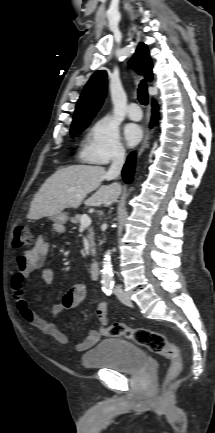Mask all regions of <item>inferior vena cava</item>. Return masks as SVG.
Wrapping results in <instances>:
<instances>
[{
	"label": "inferior vena cava",
	"instance_id": "inferior-vena-cava-1",
	"mask_svg": "<svg viewBox=\"0 0 215 433\" xmlns=\"http://www.w3.org/2000/svg\"><path fill=\"white\" fill-rule=\"evenodd\" d=\"M125 161V152L123 149H118L113 156L112 164L106 173V178L108 180L116 179L122 170ZM120 287L116 288V291H120Z\"/></svg>",
	"mask_w": 215,
	"mask_h": 433
}]
</instances>
